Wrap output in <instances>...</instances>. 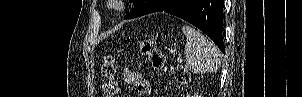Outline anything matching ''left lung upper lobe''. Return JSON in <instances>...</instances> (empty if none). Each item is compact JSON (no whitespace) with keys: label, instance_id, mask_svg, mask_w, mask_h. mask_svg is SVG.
<instances>
[{"label":"left lung upper lobe","instance_id":"left-lung-upper-lobe-1","mask_svg":"<svg viewBox=\"0 0 302 97\" xmlns=\"http://www.w3.org/2000/svg\"><path fill=\"white\" fill-rule=\"evenodd\" d=\"M130 1L134 3V9L131 12H129L128 14H132V13L141 11L142 9L145 8V6L147 5V2L149 0H130Z\"/></svg>","mask_w":302,"mask_h":97}]
</instances>
